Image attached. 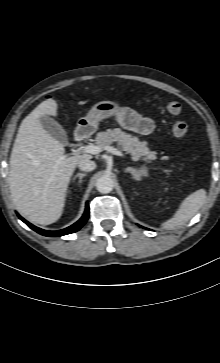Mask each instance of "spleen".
Listing matches in <instances>:
<instances>
[{
	"label": "spleen",
	"instance_id": "obj_1",
	"mask_svg": "<svg viewBox=\"0 0 220 363\" xmlns=\"http://www.w3.org/2000/svg\"><path fill=\"white\" fill-rule=\"evenodd\" d=\"M206 197V191L204 189H199L190 194L184 199L174 217L165 222L162 227L164 229H174L189 221L203 206Z\"/></svg>",
	"mask_w": 220,
	"mask_h": 363
}]
</instances>
